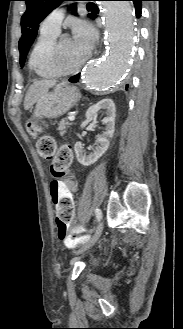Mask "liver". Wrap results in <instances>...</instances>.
<instances>
[{
  "label": "liver",
  "mask_w": 183,
  "mask_h": 329,
  "mask_svg": "<svg viewBox=\"0 0 183 329\" xmlns=\"http://www.w3.org/2000/svg\"><path fill=\"white\" fill-rule=\"evenodd\" d=\"M55 85L54 81L41 80L35 81L28 89L25 100L24 109H30L48 90Z\"/></svg>",
  "instance_id": "1"
}]
</instances>
